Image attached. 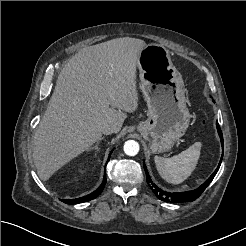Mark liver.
I'll return each instance as SVG.
<instances>
[{
  "label": "liver",
  "instance_id": "liver-1",
  "mask_svg": "<svg viewBox=\"0 0 246 246\" xmlns=\"http://www.w3.org/2000/svg\"><path fill=\"white\" fill-rule=\"evenodd\" d=\"M146 45L136 38L112 39L83 48L63 67L33 138L41 180L97 142L105 123L118 133L127 113L136 111V69Z\"/></svg>",
  "mask_w": 246,
  "mask_h": 246
}]
</instances>
